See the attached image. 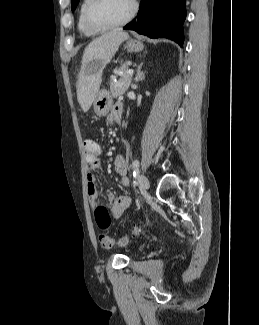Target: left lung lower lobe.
Wrapping results in <instances>:
<instances>
[{
    "label": "left lung lower lobe",
    "instance_id": "0a47b994",
    "mask_svg": "<svg viewBox=\"0 0 259 325\" xmlns=\"http://www.w3.org/2000/svg\"><path fill=\"white\" fill-rule=\"evenodd\" d=\"M186 14L185 0H142L137 17L123 29L150 38H168L182 46Z\"/></svg>",
    "mask_w": 259,
    "mask_h": 325
}]
</instances>
